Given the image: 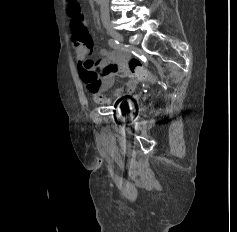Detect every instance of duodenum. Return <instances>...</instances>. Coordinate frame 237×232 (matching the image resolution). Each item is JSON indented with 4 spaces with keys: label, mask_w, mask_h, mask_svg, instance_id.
I'll use <instances>...</instances> for the list:
<instances>
[{
    "label": "duodenum",
    "mask_w": 237,
    "mask_h": 232,
    "mask_svg": "<svg viewBox=\"0 0 237 232\" xmlns=\"http://www.w3.org/2000/svg\"><path fill=\"white\" fill-rule=\"evenodd\" d=\"M93 1H95V2L99 3L101 0H93Z\"/></svg>",
    "instance_id": "1"
}]
</instances>
